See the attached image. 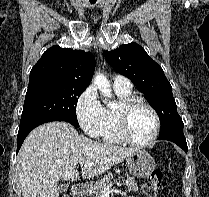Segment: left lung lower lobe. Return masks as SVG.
Returning a JSON list of instances; mask_svg holds the SVG:
<instances>
[{"instance_id": "0a47b994", "label": "left lung lower lobe", "mask_w": 209, "mask_h": 197, "mask_svg": "<svg viewBox=\"0 0 209 197\" xmlns=\"http://www.w3.org/2000/svg\"><path fill=\"white\" fill-rule=\"evenodd\" d=\"M158 140L172 141L175 144H177L179 147H181L187 153L188 147H187L186 138L183 134V131H171V132L165 133L163 135H160L158 137Z\"/></svg>"}]
</instances>
